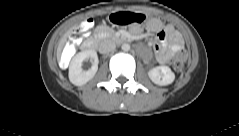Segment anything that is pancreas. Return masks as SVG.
<instances>
[{
    "label": "pancreas",
    "instance_id": "cf45deb5",
    "mask_svg": "<svg viewBox=\"0 0 239 136\" xmlns=\"http://www.w3.org/2000/svg\"><path fill=\"white\" fill-rule=\"evenodd\" d=\"M103 31H104L103 37H111L112 34H113V32L110 29L106 28V27H103Z\"/></svg>",
    "mask_w": 239,
    "mask_h": 136
}]
</instances>
